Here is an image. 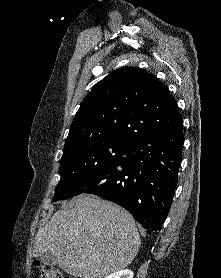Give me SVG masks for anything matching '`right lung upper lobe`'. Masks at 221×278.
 I'll use <instances>...</instances> for the list:
<instances>
[{
  "instance_id": "1",
  "label": "right lung upper lobe",
  "mask_w": 221,
  "mask_h": 278,
  "mask_svg": "<svg viewBox=\"0 0 221 278\" xmlns=\"http://www.w3.org/2000/svg\"><path fill=\"white\" fill-rule=\"evenodd\" d=\"M182 122L175 99L153 75L137 67L111 72L83 100L64 151L88 140L135 137Z\"/></svg>"
}]
</instances>
